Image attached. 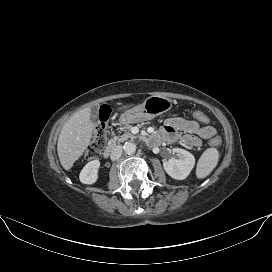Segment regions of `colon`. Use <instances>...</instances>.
Listing matches in <instances>:
<instances>
[{
  "instance_id": "5ec220e1",
  "label": "colon",
  "mask_w": 272,
  "mask_h": 272,
  "mask_svg": "<svg viewBox=\"0 0 272 272\" xmlns=\"http://www.w3.org/2000/svg\"><path fill=\"white\" fill-rule=\"evenodd\" d=\"M109 116V107L102 106L99 110L92 141L85 152V158L87 160L96 159L101 155L107 141V121ZM191 116L193 119L201 123H208L209 121L208 116L201 111L192 112ZM220 143L221 139L219 137H214L210 141V145L214 147L219 146Z\"/></svg>"
}]
</instances>
